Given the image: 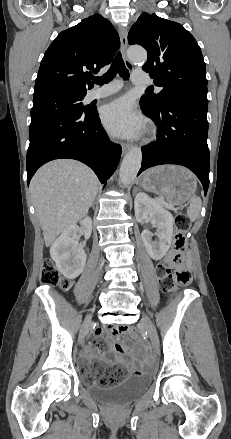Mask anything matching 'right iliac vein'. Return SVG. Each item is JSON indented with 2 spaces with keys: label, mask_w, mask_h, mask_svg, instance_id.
<instances>
[{
  "label": "right iliac vein",
  "mask_w": 231,
  "mask_h": 439,
  "mask_svg": "<svg viewBox=\"0 0 231 439\" xmlns=\"http://www.w3.org/2000/svg\"><path fill=\"white\" fill-rule=\"evenodd\" d=\"M88 330H89V322L87 321L83 325V327L81 328V331H80V335H79V343L80 344H83L85 335L88 333Z\"/></svg>",
  "instance_id": "1"
}]
</instances>
